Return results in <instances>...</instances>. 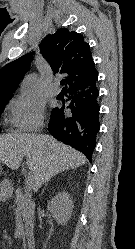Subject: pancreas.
<instances>
[{
	"label": "pancreas",
	"mask_w": 135,
	"mask_h": 249,
	"mask_svg": "<svg viewBox=\"0 0 135 249\" xmlns=\"http://www.w3.org/2000/svg\"><path fill=\"white\" fill-rule=\"evenodd\" d=\"M15 202L18 210L22 212L25 222L28 224L33 217V202L20 189L16 190Z\"/></svg>",
	"instance_id": "cf45deb5"
}]
</instances>
